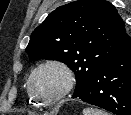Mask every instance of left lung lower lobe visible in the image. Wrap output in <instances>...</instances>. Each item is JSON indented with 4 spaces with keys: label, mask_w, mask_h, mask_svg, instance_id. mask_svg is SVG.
<instances>
[{
    "label": "left lung lower lobe",
    "mask_w": 131,
    "mask_h": 115,
    "mask_svg": "<svg viewBox=\"0 0 131 115\" xmlns=\"http://www.w3.org/2000/svg\"><path fill=\"white\" fill-rule=\"evenodd\" d=\"M76 97L116 115H131V41Z\"/></svg>",
    "instance_id": "left-lung-lower-lobe-1"
}]
</instances>
